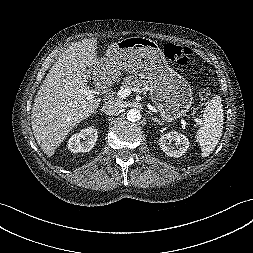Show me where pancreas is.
Here are the masks:
<instances>
[{
	"instance_id": "obj_1",
	"label": "pancreas",
	"mask_w": 253,
	"mask_h": 253,
	"mask_svg": "<svg viewBox=\"0 0 253 253\" xmlns=\"http://www.w3.org/2000/svg\"><path fill=\"white\" fill-rule=\"evenodd\" d=\"M123 87H125V88L129 87V88H133V89H140L141 88L142 92L145 93L147 91L146 87H148V81L131 75V76H127L124 79Z\"/></svg>"
}]
</instances>
